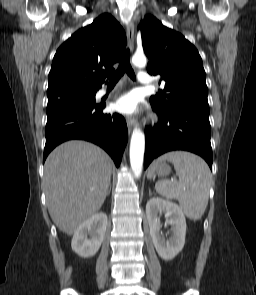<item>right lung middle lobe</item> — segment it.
Wrapping results in <instances>:
<instances>
[{"mask_svg": "<svg viewBox=\"0 0 256 295\" xmlns=\"http://www.w3.org/2000/svg\"><path fill=\"white\" fill-rule=\"evenodd\" d=\"M96 92H69L55 99L72 98L82 103H94Z\"/></svg>", "mask_w": 256, "mask_h": 295, "instance_id": "right-lung-middle-lobe-1", "label": "right lung middle lobe"}]
</instances>
